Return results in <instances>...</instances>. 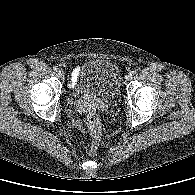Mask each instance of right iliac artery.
I'll return each instance as SVG.
<instances>
[{"mask_svg": "<svg viewBox=\"0 0 195 195\" xmlns=\"http://www.w3.org/2000/svg\"><path fill=\"white\" fill-rule=\"evenodd\" d=\"M53 70H54V71H57V70H58V68L55 66V67H53Z\"/></svg>", "mask_w": 195, "mask_h": 195, "instance_id": "obj_1", "label": "right iliac artery"}]
</instances>
